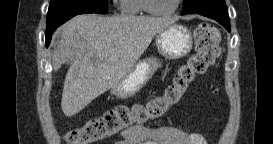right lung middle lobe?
<instances>
[{"instance_id":"right-lung-middle-lobe-1","label":"right lung middle lobe","mask_w":273,"mask_h":144,"mask_svg":"<svg viewBox=\"0 0 273 144\" xmlns=\"http://www.w3.org/2000/svg\"><path fill=\"white\" fill-rule=\"evenodd\" d=\"M107 9V0H51L46 30H50L59 18L67 14L80 11L105 14Z\"/></svg>"}]
</instances>
